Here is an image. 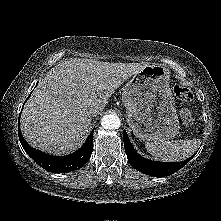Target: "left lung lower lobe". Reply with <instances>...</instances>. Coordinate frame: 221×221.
<instances>
[{"label": "left lung lower lobe", "mask_w": 221, "mask_h": 221, "mask_svg": "<svg viewBox=\"0 0 221 221\" xmlns=\"http://www.w3.org/2000/svg\"><path fill=\"white\" fill-rule=\"evenodd\" d=\"M124 147L129 163L138 171L157 177L172 175L184 167L193 157L181 162H154L140 156L133 148L126 131L123 133Z\"/></svg>", "instance_id": "1"}]
</instances>
